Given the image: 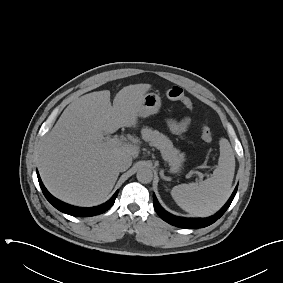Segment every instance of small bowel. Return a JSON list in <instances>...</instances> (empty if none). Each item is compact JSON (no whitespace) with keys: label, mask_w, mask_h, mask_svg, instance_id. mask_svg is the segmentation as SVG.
Returning a JSON list of instances; mask_svg holds the SVG:
<instances>
[{"label":"small bowel","mask_w":283,"mask_h":283,"mask_svg":"<svg viewBox=\"0 0 283 283\" xmlns=\"http://www.w3.org/2000/svg\"><path fill=\"white\" fill-rule=\"evenodd\" d=\"M190 123H191V121H190L189 118H184L180 121H176V120H173V119H169L167 121L169 129L176 134L184 133L187 130V128L189 127Z\"/></svg>","instance_id":"1"}]
</instances>
